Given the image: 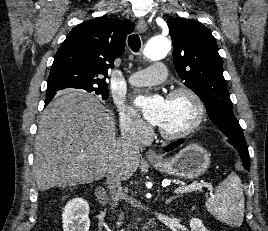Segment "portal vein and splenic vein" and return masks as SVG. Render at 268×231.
<instances>
[{"instance_id":"1","label":"portal vein and splenic vein","mask_w":268,"mask_h":231,"mask_svg":"<svg viewBox=\"0 0 268 231\" xmlns=\"http://www.w3.org/2000/svg\"><path fill=\"white\" fill-rule=\"evenodd\" d=\"M203 186H207L205 184H200V183H197V184H191V185H187V186H181L177 189H175V193H185V192H190V191H195V190H202ZM209 187V189H211L210 186H207Z\"/></svg>"}]
</instances>
